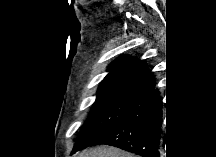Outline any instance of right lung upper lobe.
Instances as JSON below:
<instances>
[{"instance_id":"cb5924a9","label":"right lung upper lobe","mask_w":216,"mask_h":157,"mask_svg":"<svg viewBox=\"0 0 216 157\" xmlns=\"http://www.w3.org/2000/svg\"><path fill=\"white\" fill-rule=\"evenodd\" d=\"M108 72L99 85L97 96L121 90L136 92L155 82L154 76L141 60L127 55L119 57L110 64Z\"/></svg>"}]
</instances>
